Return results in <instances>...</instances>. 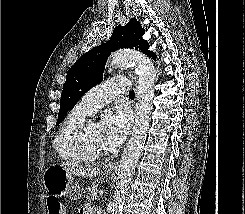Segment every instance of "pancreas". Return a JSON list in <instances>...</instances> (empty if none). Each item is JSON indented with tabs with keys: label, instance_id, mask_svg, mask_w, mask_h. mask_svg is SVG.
Returning a JSON list of instances; mask_svg holds the SVG:
<instances>
[{
	"label": "pancreas",
	"instance_id": "obj_1",
	"mask_svg": "<svg viewBox=\"0 0 245 214\" xmlns=\"http://www.w3.org/2000/svg\"><path fill=\"white\" fill-rule=\"evenodd\" d=\"M97 191H98V185H91L88 189H87V195L86 198L88 201H92L94 199L97 198Z\"/></svg>",
	"mask_w": 245,
	"mask_h": 214
}]
</instances>
